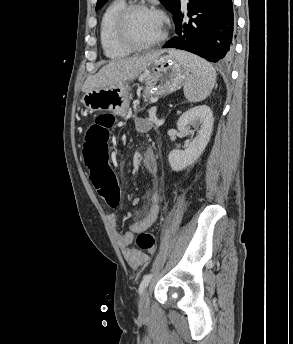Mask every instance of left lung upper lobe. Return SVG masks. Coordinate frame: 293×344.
<instances>
[{"label":"left lung upper lobe","mask_w":293,"mask_h":344,"mask_svg":"<svg viewBox=\"0 0 293 344\" xmlns=\"http://www.w3.org/2000/svg\"><path fill=\"white\" fill-rule=\"evenodd\" d=\"M108 0H98L96 5V10H99L104 6ZM172 14L177 9L180 0H159Z\"/></svg>","instance_id":"5c2ea615"}]
</instances>
